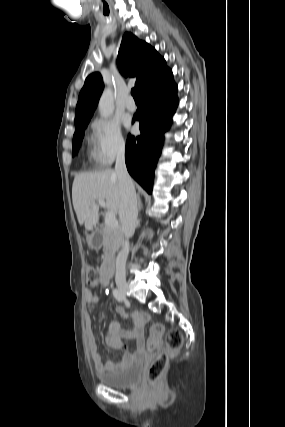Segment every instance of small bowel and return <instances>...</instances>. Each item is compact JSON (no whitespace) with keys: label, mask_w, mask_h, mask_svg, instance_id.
Segmentation results:
<instances>
[{"label":"small bowel","mask_w":285,"mask_h":427,"mask_svg":"<svg viewBox=\"0 0 285 427\" xmlns=\"http://www.w3.org/2000/svg\"><path fill=\"white\" fill-rule=\"evenodd\" d=\"M103 266L98 267V283L102 286H107L109 279L105 277L103 273ZM85 299L88 304H98L100 298L98 295L92 292V288L88 287L85 291ZM118 314L124 319L128 320L131 318L134 322L132 328H122L120 323L113 322L106 331L105 344L111 351H118L122 348V339H134L136 340L137 349L134 353L125 352L118 361H109L107 363L102 362L101 355L98 351L95 336L92 330V321L89 315L86 316V333L89 342L91 358L98 371L103 370H120L124 365L134 361H139L147 355V351L144 347V336L143 328L148 321V315L145 312L136 310L131 315H128L122 306L117 307Z\"/></svg>","instance_id":"1"}]
</instances>
